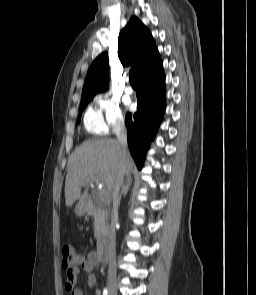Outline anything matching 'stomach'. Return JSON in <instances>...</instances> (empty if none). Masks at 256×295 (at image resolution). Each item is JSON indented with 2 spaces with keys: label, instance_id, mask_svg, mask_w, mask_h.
<instances>
[{
  "label": "stomach",
  "instance_id": "1",
  "mask_svg": "<svg viewBox=\"0 0 256 295\" xmlns=\"http://www.w3.org/2000/svg\"><path fill=\"white\" fill-rule=\"evenodd\" d=\"M74 211L77 216L81 217L86 213V208L82 204H78Z\"/></svg>",
  "mask_w": 256,
  "mask_h": 295
}]
</instances>
